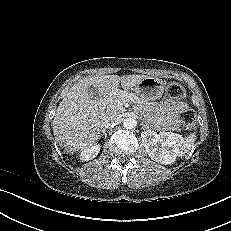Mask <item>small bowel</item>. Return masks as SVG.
<instances>
[{
    "instance_id": "c3829d8e",
    "label": "small bowel",
    "mask_w": 231,
    "mask_h": 231,
    "mask_svg": "<svg viewBox=\"0 0 231 231\" xmlns=\"http://www.w3.org/2000/svg\"><path fill=\"white\" fill-rule=\"evenodd\" d=\"M186 109H188L186 103L172 100H166L155 107L160 123L166 128H175L179 114Z\"/></svg>"
}]
</instances>
